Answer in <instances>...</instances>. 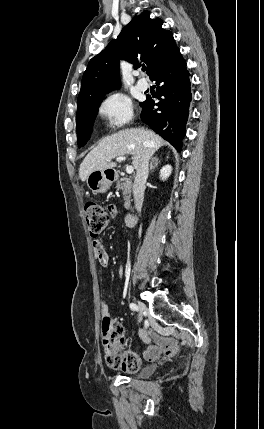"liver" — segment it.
Wrapping results in <instances>:
<instances>
[{
  "label": "liver",
  "mask_w": 264,
  "mask_h": 429,
  "mask_svg": "<svg viewBox=\"0 0 264 429\" xmlns=\"http://www.w3.org/2000/svg\"><path fill=\"white\" fill-rule=\"evenodd\" d=\"M163 144L164 140L160 136L143 127L121 130L103 138L87 154L80 165L79 178L84 182L89 174L95 170L114 168L115 163L110 161L126 154L132 155V164L136 169L145 150H150L152 155Z\"/></svg>",
  "instance_id": "obj_1"
}]
</instances>
